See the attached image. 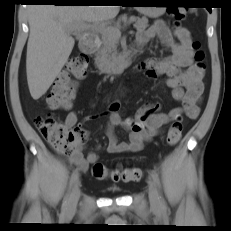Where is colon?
Segmentation results:
<instances>
[{
    "mask_svg": "<svg viewBox=\"0 0 231 231\" xmlns=\"http://www.w3.org/2000/svg\"><path fill=\"white\" fill-rule=\"evenodd\" d=\"M171 15L176 22H181L186 17V9L182 7L174 8ZM195 50L194 59L196 66L203 70L204 53L200 49L198 42L192 43ZM88 59L84 55L70 58L64 70L55 80L52 90L47 97V104L51 109H67L75 95L76 82L87 74ZM36 127L41 136L49 141L54 147L69 149L83 141L86 133L80 127H68L64 123H59L53 116L47 115L38 117L35 121ZM182 136V124L179 120L174 121L167 132V143L176 145ZM95 179L102 180L110 178L114 182L139 181L143 177V172L139 168H116L108 170L102 163L96 162L91 169Z\"/></svg>",
    "mask_w": 231,
    "mask_h": 231,
    "instance_id": "obj_1",
    "label": "colon"
}]
</instances>
